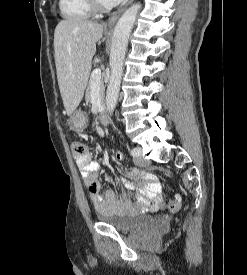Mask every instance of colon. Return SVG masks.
I'll return each mask as SVG.
<instances>
[{
  "mask_svg": "<svg viewBox=\"0 0 247 275\" xmlns=\"http://www.w3.org/2000/svg\"><path fill=\"white\" fill-rule=\"evenodd\" d=\"M71 150L77 158H84L87 155L86 146L83 143L79 142V141L72 142ZM93 189L94 188L91 187V190H93ZM180 207H181L180 195L175 194L172 197V199L169 200L168 208H169V210H171L173 212H177V211H179Z\"/></svg>",
  "mask_w": 247,
  "mask_h": 275,
  "instance_id": "5ec220e1",
  "label": "colon"
}]
</instances>
